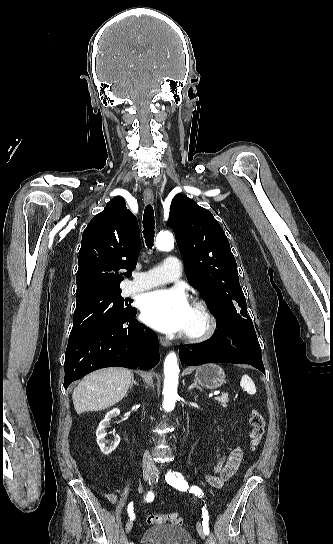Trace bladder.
I'll return each mask as SVG.
<instances>
[{
  "label": "bladder",
  "mask_w": 333,
  "mask_h": 544,
  "mask_svg": "<svg viewBox=\"0 0 333 544\" xmlns=\"http://www.w3.org/2000/svg\"><path fill=\"white\" fill-rule=\"evenodd\" d=\"M139 544H194L190 533L176 525H161L146 529Z\"/></svg>",
  "instance_id": "31cf9c89"
}]
</instances>
